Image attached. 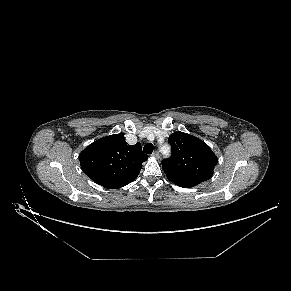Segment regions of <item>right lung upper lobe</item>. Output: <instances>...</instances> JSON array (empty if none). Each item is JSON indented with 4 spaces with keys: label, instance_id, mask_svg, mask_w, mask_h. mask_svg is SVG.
<instances>
[{
    "label": "right lung upper lobe",
    "instance_id": "1",
    "mask_svg": "<svg viewBox=\"0 0 291 291\" xmlns=\"http://www.w3.org/2000/svg\"><path fill=\"white\" fill-rule=\"evenodd\" d=\"M147 159L141 144L128 145L124 133L98 139L79 154L83 172L108 189L121 188L134 181Z\"/></svg>",
    "mask_w": 291,
    "mask_h": 291
}]
</instances>
